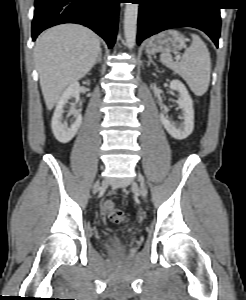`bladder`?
<instances>
[{
    "instance_id": "31cf9c89",
    "label": "bladder",
    "mask_w": 246,
    "mask_h": 300,
    "mask_svg": "<svg viewBox=\"0 0 246 300\" xmlns=\"http://www.w3.org/2000/svg\"><path fill=\"white\" fill-rule=\"evenodd\" d=\"M125 245L124 236H111L105 239L104 246L110 252H115Z\"/></svg>"
}]
</instances>
